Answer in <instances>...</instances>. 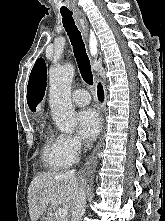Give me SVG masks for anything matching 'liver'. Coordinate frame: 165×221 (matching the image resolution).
<instances>
[{"label":"liver","mask_w":165,"mask_h":221,"mask_svg":"<svg viewBox=\"0 0 165 221\" xmlns=\"http://www.w3.org/2000/svg\"><path fill=\"white\" fill-rule=\"evenodd\" d=\"M81 178L75 174L45 172L33 178L28 188V207L32 221H37L47 207L71 208Z\"/></svg>","instance_id":"1"}]
</instances>
